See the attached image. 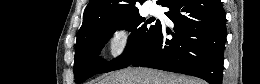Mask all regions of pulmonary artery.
<instances>
[{"mask_svg": "<svg viewBox=\"0 0 260 84\" xmlns=\"http://www.w3.org/2000/svg\"><path fill=\"white\" fill-rule=\"evenodd\" d=\"M149 11H150L151 14H156L159 11V7L155 4H151L149 6Z\"/></svg>", "mask_w": 260, "mask_h": 84, "instance_id": "e3ab8cb5", "label": "pulmonary artery"}]
</instances>
